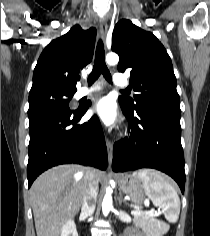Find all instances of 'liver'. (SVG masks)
<instances>
[{"label":"liver","mask_w":210,"mask_h":236,"mask_svg":"<svg viewBox=\"0 0 210 236\" xmlns=\"http://www.w3.org/2000/svg\"><path fill=\"white\" fill-rule=\"evenodd\" d=\"M91 170L59 165L41 174L30 189L37 236H60L64 224L80 210ZM97 182L104 173L93 170Z\"/></svg>","instance_id":"1"}]
</instances>
